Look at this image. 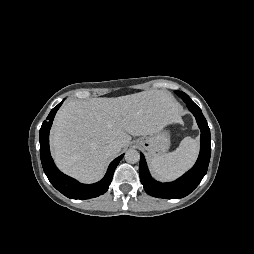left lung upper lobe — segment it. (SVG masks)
<instances>
[{"instance_id": "obj_1", "label": "left lung upper lobe", "mask_w": 254, "mask_h": 254, "mask_svg": "<svg viewBox=\"0 0 254 254\" xmlns=\"http://www.w3.org/2000/svg\"><path fill=\"white\" fill-rule=\"evenodd\" d=\"M175 93H176L179 97H181L182 100H183L185 103H187V102H193V101L190 99V97H189L187 94H185L184 92L176 91Z\"/></svg>"}]
</instances>
